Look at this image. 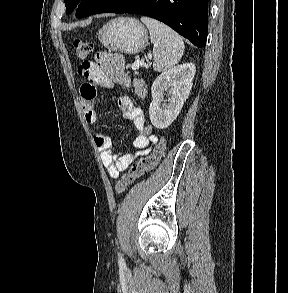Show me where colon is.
<instances>
[{
    "label": "colon",
    "instance_id": "5ec220e1",
    "mask_svg": "<svg viewBox=\"0 0 288 293\" xmlns=\"http://www.w3.org/2000/svg\"><path fill=\"white\" fill-rule=\"evenodd\" d=\"M76 57L82 62H88V58L93 53V45L91 42L77 38L73 42ZM166 141L162 137L154 150L148 156L142 158L135 163L130 170L123 175L116 185L117 194L124 192L128 186L134 183L137 179L144 176L147 172L151 171L161 160L164 155Z\"/></svg>",
    "mask_w": 288,
    "mask_h": 293
}]
</instances>
